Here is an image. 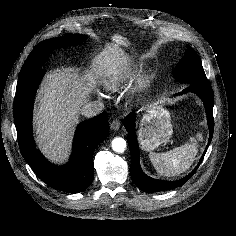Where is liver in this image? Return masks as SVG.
Returning a JSON list of instances; mask_svg holds the SVG:
<instances>
[{
  "mask_svg": "<svg viewBox=\"0 0 236 236\" xmlns=\"http://www.w3.org/2000/svg\"><path fill=\"white\" fill-rule=\"evenodd\" d=\"M125 59L117 45L107 44L84 76L70 67L46 75L38 92L34 125L37 143L51 162L62 163L67 159L74 127L97 80L113 83L123 80Z\"/></svg>",
  "mask_w": 236,
  "mask_h": 236,
  "instance_id": "6515ba94",
  "label": "liver"
}]
</instances>
